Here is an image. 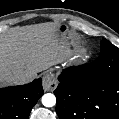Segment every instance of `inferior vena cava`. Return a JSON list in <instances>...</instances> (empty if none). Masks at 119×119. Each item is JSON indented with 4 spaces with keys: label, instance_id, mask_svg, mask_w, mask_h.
Here are the masks:
<instances>
[{
    "label": "inferior vena cava",
    "instance_id": "602c4592",
    "mask_svg": "<svg viewBox=\"0 0 119 119\" xmlns=\"http://www.w3.org/2000/svg\"><path fill=\"white\" fill-rule=\"evenodd\" d=\"M32 76L29 74H22L19 76H16L13 80V84H26L32 80Z\"/></svg>",
    "mask_w": 119,
    "mask_h": 119
}]
</instances>
